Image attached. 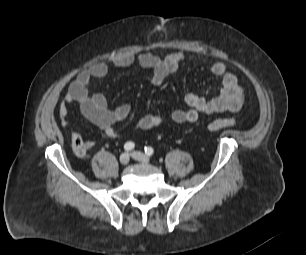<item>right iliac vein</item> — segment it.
I'll return each instance as SVG.
<instances>
[{
	"instance_id": "obj_1",
	"label": "right iliac vein",
	"mask_w": 306,
	"mask_h": 255,
	"mask_svg": "<svg viewBox=\"0 0 306 255\" xmlns=\"http://www.w3.org/2000/svg\"><path fill=\"white\" fill-rule=\"evenodd\" d=\"M119 161L122 165H126L129 162V154L123 153L120 155Z\"/></svg>"
}]
</instances>
